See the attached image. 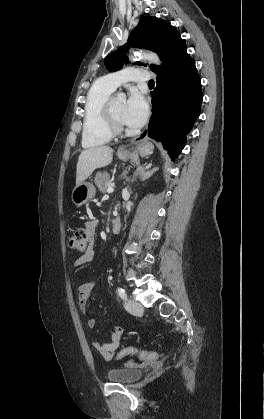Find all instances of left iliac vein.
Here are the masks:
<instances>
[{"instance_id": "4c4485c4", "label": "left iliac vein", "mask_w": 264, "mask_h": 419, "mask_svg": "<svg viewBox=\"0 0 264 419\" xmlns=\"http://www.w3.org/2000/svg\"><path fill=\"white\" fill-rule=\"evenodd\" d=\"M125 308L128 312L132 314H138L143 311L142 305L139 302L135 301L134 299H128L125 302Z\"/></svg>"}]
</instances>
